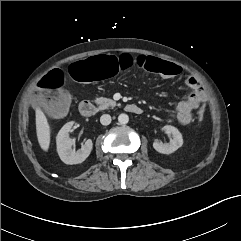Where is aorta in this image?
I'll list each match as a JSON object with an SVG mask.
<instances>
[{
	"label": "aorta",
	"instance_id": "obj_1",
	"mask_svg": "<svg viewBox=\"0 0 241 241\" xmlns=\"http://www.w3.org/2000/svg\"><path fill=\"white\" fill-rule=\"evenodd\" d=\"M118 122L121 124V125H124V124H127L129 122V117L127 114H120L118 116Z\"/></svg>",
	"mask_w": 241,
	"mask_h": 241
}]
</instances>
